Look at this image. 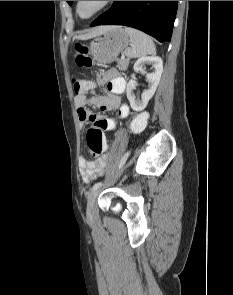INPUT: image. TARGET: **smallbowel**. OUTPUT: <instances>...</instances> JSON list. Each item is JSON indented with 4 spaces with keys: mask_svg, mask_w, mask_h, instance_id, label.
Masks as SVG:
<instances>
[{
    "mask_svg": "<svg viewBox=\"0 0 233 295\" xmlns=\"http://www.w3.org/2000/svg\"><path fill=\"white\" fill-rule=\"evenodd\" d=\"M98 81L106 86L107 94L89 98L84 94H76L74 101L77 106L78 119L81 124L92 122L93 127L100 128L102 131L113 130L116 127V122L113 119L94 114L86 106H96L102 112L116 111L120 119L126 118L129 115V107L121 103L120 95L125 92L127 83L114 69L101 73ZM105 165L106 156L94 160L80 157L79 172L82 180L89 183L100 177L104 172Z\"/></svg>",
    "mask_w": 233,
    "mask_h": 295,
    "instance_id": "obj_1",
    "label": "small bowel"
}]
</instances>
